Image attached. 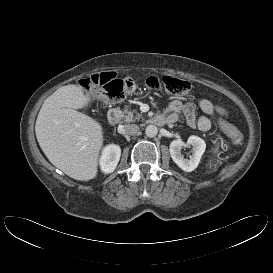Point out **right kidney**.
I'll return each mask as SVG.
<instances>
[{
    "label": "right kidney",
    "mask_w": 273,
    "mask_h": 273,
    "mask_svg": "<svg viewBox=\"0 0 273 273\" xmlns=\"http://www.w3.org/2000/svg\"><path fill=\"white\" fill-rule=\"evenodd\" d=\"M121 156V149L118 145L110 144L103 149L100 166L105 173H111L115 170Z\"/></svg>",
    "instance_id": "obj_1"
}]
</instances>
